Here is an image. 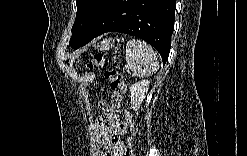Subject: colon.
Returning <instances> with one entry per match:
<instances>
[{
	"instance_id": "1",
	"label": "colon",
	"mask_w": 247,
	"mask_h": 156,
	"mask_svg": "<svg viewBox=\"0 0 247 156\" xmlns=\"http://www.w3.org/2000/svg\"><path fill=\"white\" fill-rule=\"evenodd\" d=\"M104 65H105V60H104L103 55L101 54L94 55L87 62L88 69H93L96 67H104ZM104 77L106 80L109 81L110 88L114 92H117L121 95L123 94L124 82H123L122 76L116 70L111 69V68H106L104 71ZM125 123H126V126L130 134L135 136L136 135L135 123L131 115L127 111H125ZM132 152H133V146H131L130 150L128 151L126 155H131Z\"/></svg>"
}]
</instances>
